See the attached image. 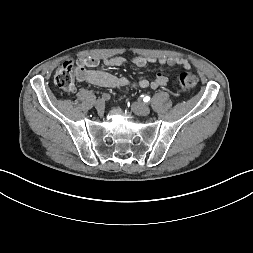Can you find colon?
<instances>
[{"label": "colon", "mask_w": 253, "mask_h": 253, "mask_svg": "<svg viewBox=\"0 0 253 253\" xmlns=\"http://www.w3.org/2000/svg\"><path fill=\"white\" fill-rule=\"evenodd\" d=\"M78 66L73 60L65 61L56 71L54 76L55 84L66 92H72L75 89V73ZM179 85L182 89H191L198 83V77L191 72H183L178 77Z\"/></svg>", "instance_id": "obj_1"}]
</instances>
